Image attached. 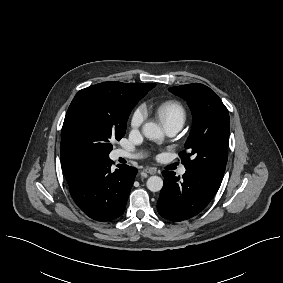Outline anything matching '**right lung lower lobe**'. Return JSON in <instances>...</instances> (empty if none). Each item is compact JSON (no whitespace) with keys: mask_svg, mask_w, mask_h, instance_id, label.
<instances>
[{"mask_svg":"<svg viewBox=\"0 0 283 283\" xmlns=\"http://www.w3.org/2000/svg\"><path fill=\"white\" fill-rule=\"evenodd\" d=\"M111 165L109 157L93 158L68 184L79 208L97 221H110L123 214L137 174L134 167L118 165L112 170Z\"/></svg>","mask_w":283,"mask_h":283,"instance_id":"1","label":"right lung lower lobe"}]
</instances>
